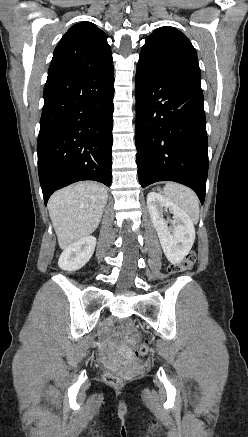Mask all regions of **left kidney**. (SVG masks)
I'll return each instance as SVG.
<instances>
[{
  "mask_svg": "<svg viewBox=\"0 0 248 437\" xmlns=\"http://www.w3.org/2000/svg\"><path fill=\"white\" fill-rule=\"evenodd\" d=\"M147 207L165 256L172 264L179 263L189 253L195 240L192 220L181 208L156 192L147 195ZM164 212L172 213L173 220H166Z\"/></svg>",
  "mask_w": 248,
  "mask_h": 437,
  "instance_id": "1",
  "label": "left kidney"
}]
</instances>
